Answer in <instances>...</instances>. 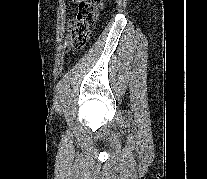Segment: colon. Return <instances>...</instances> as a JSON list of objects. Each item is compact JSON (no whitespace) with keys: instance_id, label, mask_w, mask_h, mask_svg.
<instances>
[{"instance_id":"colon-1","label":"colon","mask_w":207,"mask_h":179,"mask_svg":"<svg viewBox=\"0 0 207 179\" xmlns=\"http://www.w3.org/2000/svg\"><path fill=\"white\" fill-rule=\"evenodd\" d=\"M104 0H79L73 18L68 24V45L71 48L83 47L89 37L90 28L98 19Z\"/></svg>"}]
</instances>
